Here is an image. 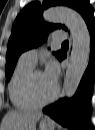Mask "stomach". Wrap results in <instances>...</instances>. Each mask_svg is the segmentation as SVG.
Instances as JSON below:
<instances>
[{"label":"stomach","mask_w":95,"mask_h":130,"mask_svg":"<svg viewBox=\"0 0 95 130\" xmlns=\"http://www.w3.org/2000/svg\"><path fill=\"white\" fill-rule=\"evenodd\" d=\"M39 130H54V123L53 122H49V123L41 122L39 125Z\"/></svg>","instance_id":"1"}]
</instances>
